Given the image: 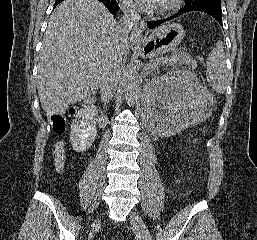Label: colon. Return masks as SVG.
Instances as JSON below:
<instances>
[{"mask_svg":"<svg viewBox=\"0 0 257 240\" xmlns=\"http://www.w3.org/2000/svg\"><path fill=\"white\" fill-rule=\"evenodd\" d=\"M51 125L56 134H61L65 130V120L64 118L59 114H53L51 116ZM61 162V160H59Z\"/></svg>","mask_w":257,"mask_h":240,"instance_id":"obj_1","label":"colon"}]
</instances>
